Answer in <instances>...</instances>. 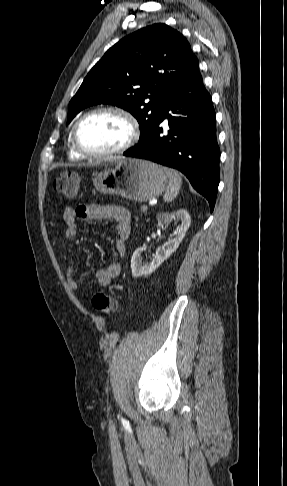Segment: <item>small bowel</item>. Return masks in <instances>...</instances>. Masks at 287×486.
Segmentation results:
<instances>
[{
    "mask_svg": "<svg viewBox=\"0 0 287 486\" xmlns=\"http://www.w3.org/2000/svg\"><path fill=\"white\" fill-rule=\"evenodd\" d=\"M66 229L63 242L67 248V258L70 257L69 242L78 232L77 220H107L112 222V233L115 236V251L117 255L124 256L127 251V240L131 232V215L128 209L120 205H79L68 207L64 211ZM122 265L118 261L111 262L107 267L96 271V282L101 287L108 286L114 278L120 275ZM66 282L68 287L77 292L79 284L74 277V267L69 263L66 267Z\"/></svg>",
    "mask_w": 287,
    "mask_h": 486,
    "instance_id": "c3829d8e",
    "label": "small bowel"
}]
</instances>
